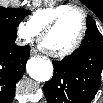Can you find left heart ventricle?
I'll return each instance as SVG.
<instances>
[{
  "instance_id": "left-heart-ventricle-1",
  "label": "left heart ventricle",
  "mask_w": 103,
  "mask_h": 103,
  "mask_svg": "<svg viewBox=\"0 0 103 103\" xmlns=\"http://www.w3.org/2000/svg\"><path fill=\"white\" fill-rule=\"evenodd\" d=\"M83 26L81 13L72 12L63 18L44 39V45L54 51L64 50L78 38Z\"/></svg>"
}]
</instances>
